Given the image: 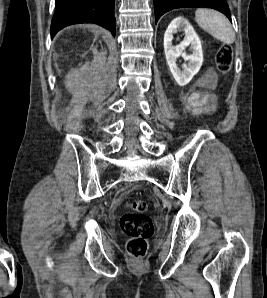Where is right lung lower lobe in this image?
Segmentation results:
<instances>
[{
    "instance_id": "obj_1",
    "label": "right lung lower lobe",
    "mask_w": 267,
    "mask_h": 298,
    "mask_svg": "<svg viewBox=\"0 0 267 298\" xmlns=\"http://www.w3.org/2000/svg\"><path fill=\"white\" fill-rule=\"evenodd\" d=\"M115 0H56L51 38L62 28L78 23H95L115 36Z\"/></svg>"
}]
</instances>
